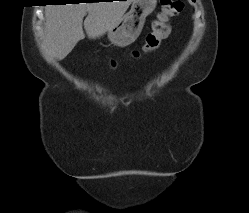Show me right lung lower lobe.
<instances>
[{
    "label": "right lung lower lobe",
    "mask_w": 249,
    "mask_h": 213,
    "mask_svg": "<svg viewBox=\"0 0 249 213\" xmlns=\"http://www.w3.org/2000/svg\"><path fill=\"white\" fill-rule=\"evenodd\" d=\"M67 0H52L51 2L66 3Z\"/></svg>",
    "instance_id": "right-lung-lower-lobe-1"
}]
</instances>
